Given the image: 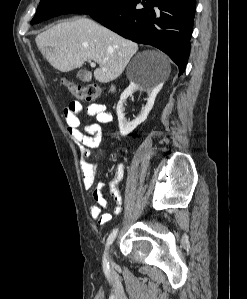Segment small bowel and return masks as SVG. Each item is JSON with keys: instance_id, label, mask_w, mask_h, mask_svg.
<instances>
[{"instance_id": "c3829d8e", "label": "small bowel", "mask_w": 247, "mask_h": 299, "mask_svg": "<svg viewBox=\"0 0 247 299\" xmlns=\"http://www.w3.org/2000/svg\"><path fill=\"white\" fill-rule=\"evenodd\" d=\"M84 111V106L78 101L70 102L64 109V118L67 125V131L73 142L79 147L81 160L82 183L86 190L93 189L94 204L90 207V215L100 225H105L112 219L111 214L103 212L108 203L102 194L103 183L95 186L97 175L96 165L90 161L92 151L97 149L103 140L102 124H107L112 120L111 114L107 111L104 104L92 103L85 108L89 117L96 119L95 123L82 126L80 115ZM121 171L110 182V194L115 201L114 214L119 215L122 212V197L118 189ZM95 186V187H94Z\"/></svg>"}]
</instances>
